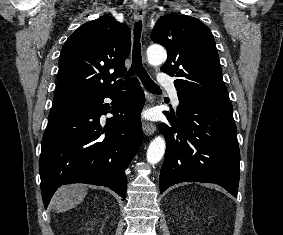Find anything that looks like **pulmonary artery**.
<instances>
[{
    "instance_id": "e3ab8cb5",
    "label": "pulmonary artery",
    "mask_w": 283,
    "mask_h": 235,
    "mask_svg": "<svg viewBox=\"0 0 283 235\" xmlns=\"http://www.w3.org/2000/svg\"><path fill=\"white\" fill-rule=\"evenodd\" d=\"M159 80H160V83L165 86L166 88H168L171 93H172V101L175 105H178L179 104V99H178V96L176 94V88H175V85L173 83V81L171 79H169L168 77H166L165 75L161 74L159 76Z\"/></svg>"
}]
</instances>
